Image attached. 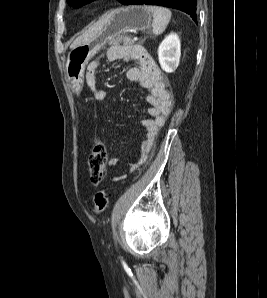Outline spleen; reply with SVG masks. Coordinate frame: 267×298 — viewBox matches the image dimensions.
Segmentation results:
<instances>
[{"label":"spleen","instance_id":"obj_1","mask_svg":"<svg viewBox=\"0 0 267 298\" xmlns=\"http://www.w3.org/2000/svg\"><path fill=\"white\" fill-rule=\"evenodd\" d=\"M144 8L153 15L152 28L154 35L162 34L170 22L171 11L160 6H144Z\"/></svg>","mask_w":267,"mask_h":298}]
</instances>
